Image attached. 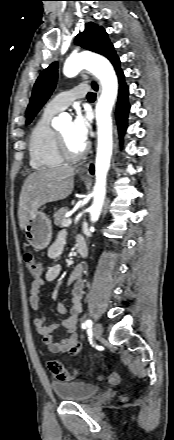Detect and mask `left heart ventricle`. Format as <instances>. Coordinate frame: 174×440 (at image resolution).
Masks as SVG:
<instances>
[{
    "label": "left heart ventricle",
    "instance_id": "left-heart-ventricle-1",
    "mask_svg": "<svg viewBox=\"0 0 174 440\" xmlns=\"http://www.w3.org/2000/svg\"><path fill=\"white\" fill-rule=\"evenodd\" d=\"M59 131L61 132V134H62L63 137L65 138L66 143H67L69 149H70L72 152H75V153H76V152H79V151L83 148V145L77 143V142L72 138V135H71V123H70V122L65 123V124L61 127V129H60Z\"/></svg>",
    "mask_w": 174,
    "mask_h": 440
}]
</instances>
